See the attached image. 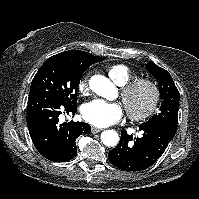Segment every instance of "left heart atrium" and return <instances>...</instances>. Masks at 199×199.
<instances>
[{"instance_id": "39dd6f15", "label": "left heart atrium", "mask_w": 199, "mask_h": 199, "mask_svg": "<svg viewBox=\"0 0 199 199\" xmlns=\"http://www.w3.org/2000/svg\"><path fill=\"white\" fill-rule=\"evenodd\" d=\"M124 114L122 105L109 103L101 99L92 100L82 108L83 118L90 124L106 127L118 122Z\"/></svg>"}]
</instances>
